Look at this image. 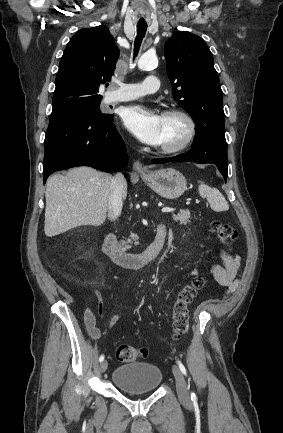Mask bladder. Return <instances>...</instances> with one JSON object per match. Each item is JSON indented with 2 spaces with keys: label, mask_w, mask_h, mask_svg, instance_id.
Segmentation results:
<instances>
[{
  "label": "bladder",
  "mask_w": 283,
  "mask_h": 433,
  "mask_svg": "<svg viewBox=\"0 0 283 433\" xmlns=\"http://www.w3.org/2000/svg\"><path fill=\"white\" fill-rule=\"evenodd\" d=\"M161 381L160 368L147 362L119 366L113 376V383L125 393L150 392L157 389Z\"/></svg>",
  "instance_id": "1"
}]
</instances>
